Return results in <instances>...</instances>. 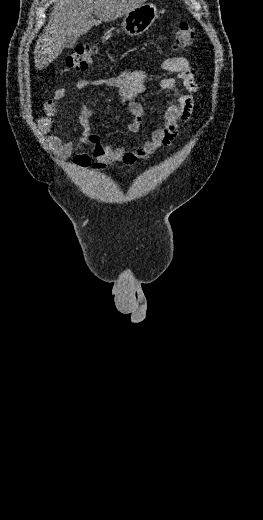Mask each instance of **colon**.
Listing matches in <instances>:
<instances>
[{
  "mask_svg": "<svg viewBox=\"0 0 263 520\" xmlns=\"http://www.w3.org/2000/svg\"><path fill=\"white\" fill-rule=\"evenodd\" d=\"M195 32L188 22H182L177 28L173 47L181 50L189 47L194 39ZM95 47L93 45H79L66 58V66L76 71H85L92 64Z\"/></svg>",
  "mask_w": 263,
  "mask_h": 520,
  "instance_id": "1",
  "label": "colon"
}]
</instances>
